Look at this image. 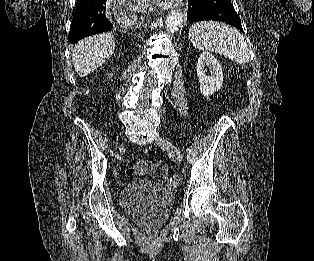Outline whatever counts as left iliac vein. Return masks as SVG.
<instances>
[{"mask_svg": "<svg viewBox=\"0 0 314 261\" xmlns=\"http://www.w3.org/2000/svg\"><path fill=\"white\" fill-rule=\"evenodd\" d=\"M156 142L159 146L165 148L170 154H172L179 162H182V154L173 143L164 137H159Z\"/></svg>", "mask_w": 314, "mask_h": 261, "instance_id": "1", "label": "left iliac vein"}]
</instances>
